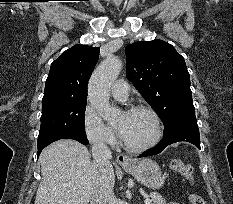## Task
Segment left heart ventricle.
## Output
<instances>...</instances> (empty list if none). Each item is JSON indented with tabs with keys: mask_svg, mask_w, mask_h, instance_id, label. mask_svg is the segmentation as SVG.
Returning <instances> with one entry per match:
<instances>
[{
	"mask_svg": "<svg viewBox=\"0 0 233 204\" xmlns=\"http://www.w3.org/2000/svg\"><path fill=\"white\" fill-rule=\"evenodd\" d=\"M123 138L131 145L148 143L155 135L152 117L145 112H123L115 123Z\"/></svg>",
	"mask_w": 233,
	"mask_h": 204,
	"instance_id": "obj_1",
	"label": "left heart ventricle"
}]
</instances>
